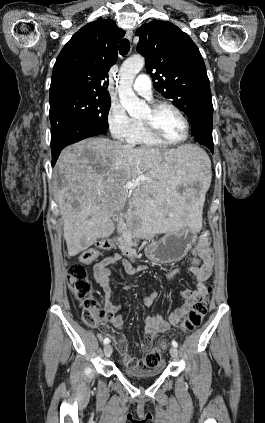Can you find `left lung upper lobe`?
<instances>
[{
	"label": "left lung upper lobe",
	"mask_w": 265,
	"mask_h": 423,
	"mask_svg": "<svg viewBox=\"0 0 265 423\" xmlns=\"http://www.w3.org/2000/svg\"><path fill=\"white\" fill-rule=\"evenodd\" d=\"M136 35L137 51L145 57L155 89L169 98L190 119L212 105L210 83L202 55L192 39L170 22L153 20L142 25Z\"/></svg>",
	"instance_id": "left-lung-upper-lobe-1"
}]
</instances>
